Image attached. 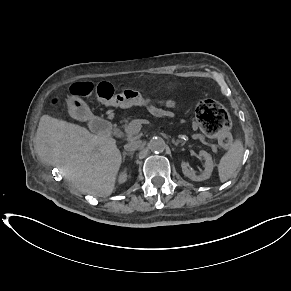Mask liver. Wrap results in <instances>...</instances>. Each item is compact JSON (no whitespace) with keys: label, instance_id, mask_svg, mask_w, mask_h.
Listing matches in <instances>:
<instances>
[{"label":"liver","instance_id":"liver-1","mask_svg":"<svg viewBox=\"0 0 291 291\" xmlns=\"http://www.w3.org/2000/svg\"><path fill=\"white\" fill-rule=\"evenodd\" d=\"M35 149L80 193L99 197L113 193L122 162L115 139L44 115L36 132Z\"/></svg>","mask_w":291,"mask_h":291}]
</instances>
